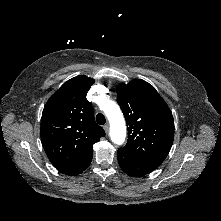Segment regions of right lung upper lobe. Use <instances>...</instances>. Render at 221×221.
I'll list each match as a JSON object with an SVG mask.
<instances>
[{
	"label": "right lung upper lobe",
	"mask_w": 221,
	"mask_h": 221,
	"mask_svg": "<svg viewBox=\"0 0 221 221\" xmlns=\"http://www.w3.org/2000/svg\"><path fill=\"white\" fill-rule=\"evenodd\" d=\"M94 79L84 75L65 82L47 101L41 118V140L53 166L76 176L91 163L93 144L105 136L94 119L86 92Z\"/></svg>",
	"instance_id": "cb5924a9"
}]
</instances>
